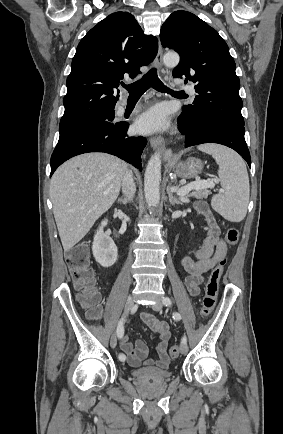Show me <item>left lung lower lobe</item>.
<instances>
[{
  "instance_id": "1",
  "label": "left lung lower lobe",
  "mask_w": 283,
  "mask_h": 434,
  "mask_svg": "<svg viewBox=\"0 0 283 434\" xmlns=\"http://www.w3.org/2000/svg\"><path fill=\"white\" fill-rule=\"evenodd\" d=\"M184 118L178 119L179 130L185 136V147L218 143L238 152L251 166L250 153L244 138L245 128L232 120L213 118L203 124L189 129Z\"/></svg>"
}]
</instances>
